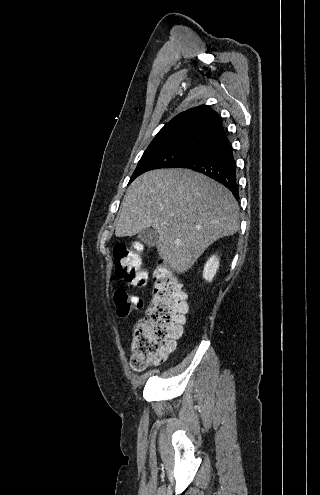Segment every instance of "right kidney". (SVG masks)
<instances>
[{"instance_id":"ca27d5eb","label":"right kidney","mask_w":320,"mask_h":495,"mask_svg":"<svg viewBox=\"0 0 320 495\" xmlns=\"http://www.w3.org/2000/svg\"><path fill=\"white\" fill-rule=\"evenodd\" d=\"M219 268V258H217L216 255H212L206 262L203 270V278L208 281L212 282L214 276L216 275V272Z\"/></svg>"}]
</instances>
